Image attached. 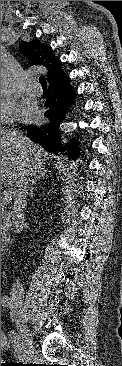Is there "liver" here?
I'll return each mask as SVG.
<instances>
[{"label":"liver","instance_id":"1","mask_svg":"<svg viewBox=\"0 0 122 366\" xmlns=\"http://www.w3.org/2000/svg\"><path fill=\"white\" fill-rule=\"evenodd\" d=\"M52 155L17 131L1 128V184L13 195L16 182L27 173L39 177Z\"/></svg>","mask_w":122,"mask_h":366}]
</instances>
